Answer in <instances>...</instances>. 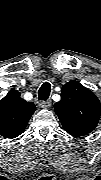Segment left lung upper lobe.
Returning <instances> with one entry per match:
<instances>
[{"label": "left lung upper lobe", "mask_w": 101, "mask_h": 180, "mask_svg": "<svg viewBox=\"0 0 101 180\" xmlns=\"http://www.w3.org/2000/svg\"><path fill=\"white\" fill-rule=\"evenodd\" d=\"M54 108L65 131L77 137L95 129L101 112L96 95L76 80L63 85L61 100Z\"/></svg>", "instance_id": "1"}]
</instances>
